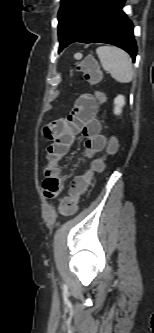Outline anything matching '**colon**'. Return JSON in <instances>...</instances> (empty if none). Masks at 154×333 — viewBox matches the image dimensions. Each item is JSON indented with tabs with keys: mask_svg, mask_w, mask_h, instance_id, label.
Here are the masks:
<instances>
[{
	"mask_svg": "<svg viewBox=\"0 0 154 333\" xmlns=\"http://www.w3.org/2000/svg\"><path fill=\"white\" fill-rule=\"evenodd\" d=\"M77 69L82 73L83 78L91 85H96L100 82L102 77L101 71L93 57H85L77 65ZM95 97L100 103L105 99L103 93L98 91L95 92ZM116 150L117 141L111 136L106 144L104 156L93 160L89 169L84 174L75 177L71 182L69 195L62 198L59 203L58 210L62 215L70 216L77 211L78 202L81 196L89 189L94 175L104 170L107 158L113 155Z\"/></svg>",
	"mask_w": 154,
	"mask_h": 333,
	"instance_id": "5ec220e1",
	"label": "colon"
}]
</instances>
